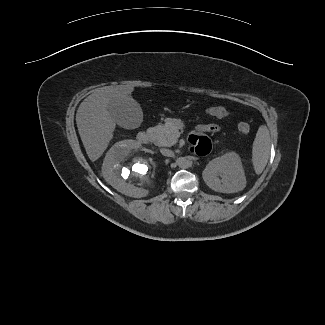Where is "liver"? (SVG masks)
<instances>
[{
  "label": "liver",
  "instance_id": "obj_1",
  "mask_svg": "<svg viewBox=\"0 0 325 325\" xmlns=\"http://www.w3.org/2000/svg\"><path fill=\"white\" fill-rule=\"evenodd\" d=\"M131 86H105L96 89L80 104L76 113V124L89 159L98 160L113 139L116 123L108 106L118 98L133 99Z\"/></svg>",
  "mask_w": 325,
  "mask_h": 325
}]
</instances>
